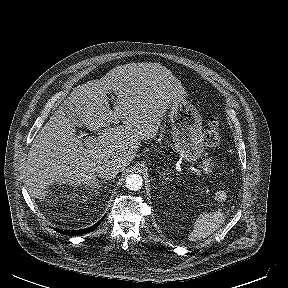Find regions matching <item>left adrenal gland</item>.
<instances>
[{"label": "left adrenal gland", "instance_id": "left-adrenal-gland-1", "mask_svg": "<svg viewBox=\"0 0 288 288\" xmlns=\"http://www.w3.org/2000/svg\"><path fill=\"white\" fill-rule=\"evenodd\" d=\"M159 174L163 177L164 180L172 181V178L170 176L166 177V174L164 172H159ZM168 175V173H167Z\"/></svg>", "mask_w": 288, "mask_h": 288}]
</instances>
